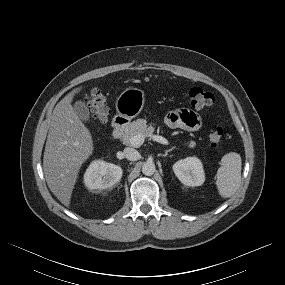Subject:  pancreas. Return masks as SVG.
<instances>
[{
  "mask_svg": "<svg viewBox=\"0 0 285 285\" xmlns=\"http://www.w3.org/2000/svg\"><path fill=\"white\" fill-rule=\"evenodd\" d=\"M154 131V124L147 125V121L145 119H137L127 126L120 138L124 144H130L131 137L141 134L146 138L151 136ZM195 145L196 143L194 141H190L187 144L189 148H194Z\"/></svg>",
  "mask_w": 285,
  "mask_h": 285,
  "instance_id": "cf45deb5",
  "label": "pancreas"
}]
</instances>
